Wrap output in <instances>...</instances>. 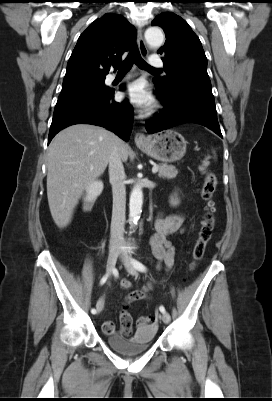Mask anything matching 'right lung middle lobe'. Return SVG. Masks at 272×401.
<instances>
[{
	"instance_id": "dd1d6c3e",
	"label": "right lung middle lobe",
	"mask_w": 272,
	"mask_h": 401,
	"mask_svg": "<svg viewBox=\"0 0 272 401\" xmlns=\"http://www.w3.org/2000/svg\"><path fill=\"white\" fill-rule=\"evenodd\" d=\"M108 90L109 88L105 86L104 80H100L73 89L62 90L58 97L57 103L75 98L77 96L103 94L106 93Z\"/></svg>"
}]
</instances>
